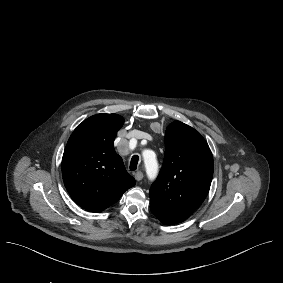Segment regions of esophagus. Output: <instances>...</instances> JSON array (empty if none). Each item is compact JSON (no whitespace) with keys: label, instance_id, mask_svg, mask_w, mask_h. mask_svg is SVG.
<instances>
[{"label":"esophagus","instance_id":"esophagus-1","mask_svg":"<svg viewBox=\"0 0 283 283\" xmlns=\"http://www.w3.org/2000/svg\"><path fill=\"white\" fill-rule=\"evenodd\" d=\"M143 177H144V174H143L141 171H137V172L134 174V178H135L137 181L142 180Z\"/></svg>","mask_w":283,"mask_h":283}]
</instances>
